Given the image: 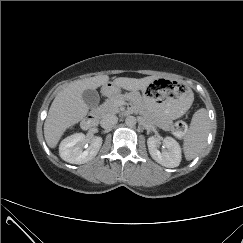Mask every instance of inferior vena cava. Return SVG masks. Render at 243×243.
Returning a JSON list of instances; mask_svg holds the SVG:
<instances>
[{"label":"inferior vena cava","instance_id":"602c4592","mask_svg":"<svg viewBox=\"0 0 243 243\" xmlns=\"http://www.w3.org/2000/svg\"><path fill=\"white\" fill-rule=\"evenodd\" d=\"M118 122V118L116 115L114 114H106L103 116V118L101 119V127L102 128H111L113 127L114 125H116Z\"/></svg>","mask_w":243,"mask_h":243}]
</instances>
